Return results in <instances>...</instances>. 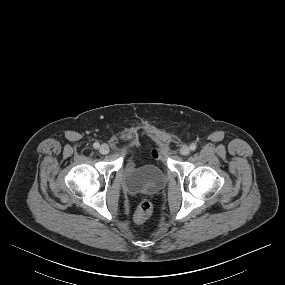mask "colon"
Here are the masks:
<instances>
[{
	"label": "colon",
	"instance_id": "obj_1",
	"mask_svg": "<svg viewBox=\"0 0 285 285\" xmlns=\"http://www.w3.org/2000/svg\"><path fill=\"white\" fill-rule=\"evenodd\" d=\"M154 155L157 157L158 152L155 151ZM152 217H153L152 204L147 200L140 201L135 212V220L138 223H146L149 222L152 219Z\"/></svg>",
	"mask_w": 285,
	"mask_h": 285
}]
</instances>
